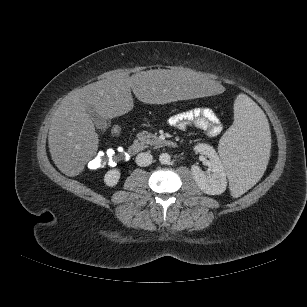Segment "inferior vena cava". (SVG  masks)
I'll return each mask as SVG.
<instances>
[{
	"instance_id": "inferior-vena-cava-1",
	"label": "inferior vena cava",
	"mask_w": 307,
	"mask_h": 307,
	"mask_svg": "<svg viewBox=\"0 0 307 307\" xmlns=\"http://www.w3.org/2000/svg\"><path fill=\"white\" fill-rule=\"evenodd\" d=\"M153 157L148 152L139 153L136 156V163L140 167H146L152 163Z\"/></svg>"
}]
</instances>
